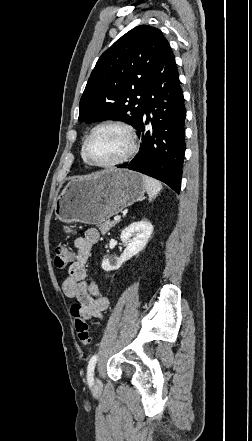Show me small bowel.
<instances>
[{
  "label": "small bowel",
  "mask_w": 252,
  "mask_h": 441,
  "mask_svg": "<svg viewBox=\"0 0 252 441\" xmlns=\"http://www.w3.org/2000/svg\"><path fill=\"white\" fill-rule=\"evenodd\" d=\"M99 237L96 229H88L83 236L75 239L77 251L73 254L74 261L62 283L64 295L77 300L86 319L102 318L103 312L109 307L108 298L100 292L98 286L87 281V261Z\"/></svg>",
  "instance_id": "small-bowel-1"
}]
</instances>
